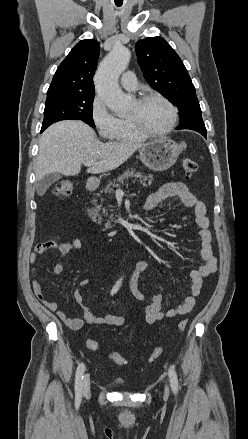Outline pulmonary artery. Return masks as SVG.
I'll return each instance as SVG.
<instances>
[{
    "instance_id": "pulmonary-artery-1",
    "label": "pulmonary artery",
    "mask_w": 248,
    "mask_h": 439,
    "mask_svg": "<svg viewBox=\"0 0 248 439\" xmlns=\"http://www.w3.org/2000/svg\"><path fill=\"white\" fill-rule=\"evenodd\" d=\"M121 85L125 90L135 91L137 88V79L132 71L125 72L121 77Z\"/></svg>"
}]
</instances>
